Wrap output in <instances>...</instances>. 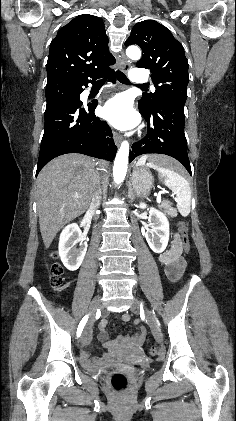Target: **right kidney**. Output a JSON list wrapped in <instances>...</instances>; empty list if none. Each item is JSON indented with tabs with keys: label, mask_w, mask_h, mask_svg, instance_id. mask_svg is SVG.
I'll return each instance as SVG.
<instances>
[{
	"label": "right kidney",
	"mask_w": 236,
	"mask_h": 421,
	"mask_svg": "<svg viewBox=\"0 0 236 421\" xmlns=\"http://www.w3.org/2000/svg\"><path fill=\"white\" fill-rule=\"evenodd\" d=\"M79 243V249L77 245ZM87 243L78 225H68L63 229L59 239V257L68 271L79 269L87 251Z\"/></svg>",
	"instance_id": "ca27d5eb"
}]
</instances>
